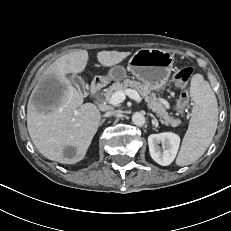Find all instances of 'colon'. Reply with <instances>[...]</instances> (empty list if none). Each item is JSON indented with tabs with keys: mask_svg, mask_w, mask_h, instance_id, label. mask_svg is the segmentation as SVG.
I'll use <instances>...</instances> for the list:
<instances>
[{
	"mask_svg": "<svg viewBox=\"0 0 231 231\" xmlns=\"http://www.w3.org/2000/svg\"><path fill=\"white\" fill-rule=\"evenodd\" d=\"M192 74H193V69L189 67H185L178 70L173 77L175 83L182 88V92L177 102V107L181 112H183L187 108L190 101V97L186 85L189 79L191 78Z\"/></svg>",
	"mask_w": 231,
	"mask_h": 231,
	"instance_id": "1",
	"label": "colon"
}]
</instances>
